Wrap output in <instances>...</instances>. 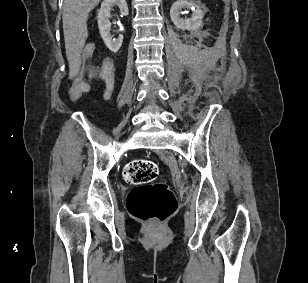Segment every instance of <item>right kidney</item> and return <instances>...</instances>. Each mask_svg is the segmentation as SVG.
Returning a JSON list of instances; mask_svg holds the SVG:
<instances>
[{
	"label": "right kidney",
	"instance_id": "1",
	"mask_svg": "<svg viewBox=\"0 0 308 283\" xmlns=\"http://www.w3.org/2000/svg\"><path fill=\"white\" fill-rule=\"evenodd\" d=\"M115 5L119 7L122 16L128 15V6L126 0H104L101 3V7L97 15L98 27L101 37L109 50L114 53H116L120 49L123 42V35H119L118 38L113 39L110 34V11L111 8Z\"/></svg>",
	"mask_w": 308,
	"mask_h": 283
}]
</instances>
